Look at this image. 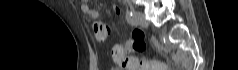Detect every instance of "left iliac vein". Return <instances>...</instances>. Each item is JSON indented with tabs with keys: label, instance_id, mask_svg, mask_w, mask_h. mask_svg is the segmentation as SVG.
I'll use <instances>...</instances> for the list:
<instances>
[{
	"label": "left iliac vein",
	"instance_id": "obj_1",
	"mask_svg": "<svg viewBox=\"0 0 238 70\" xmlns=\"http://www.w3.org/2000/svg\"><path fill=\"white\" fill-rule=\"evenodd\" d=\"M134 21L136 25H140L142 27H146L148 25L147 20L145 19L144 13L140 11L134 12Z\"/></svg>",
	"mask_w": 238,
	"mask_h": 70
}]
</instances>
